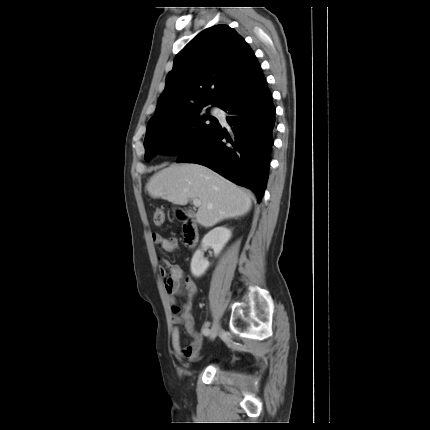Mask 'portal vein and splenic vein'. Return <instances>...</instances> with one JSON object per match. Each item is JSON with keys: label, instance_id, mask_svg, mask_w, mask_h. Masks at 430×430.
Returning <instances> with one entry per match:
<instances>
[{"label": "portal vein and splenic vein", "instance_id": "obj_1", "mask_svg": "<svg viewBox=\"0 0 430 430\" xmlns=\"http://www.w3.org/2000/svg\"><path fill=\"white\" fill-rule=\"evenodd\" d=\"M193 204H194L195 207H199L201 205V200L198 199V198H196V199L193 200Z\"/></svg>", "mask_w": 430, "mask_h": 430}]
</instances>
